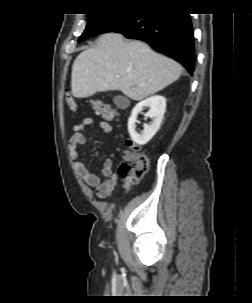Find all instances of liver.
Masks as SVG:
<instances>
[{
    "label": "liver",
    "instance_id": "liver-1",
    "mask_svg": "<svg viewBox=\"0 0 252 303\" xmlns=\"http://www.w3.org/2000/svg\"><path fill=\"white\" fill-rule=\"evenodd\" d=\"M182 66L157 54L140 41H125L118 33H106L97 46L80 53L72 66L71 89L76 98L118 90L139 101L176 81Z\"/></svg>",
    "mask_w": 252,
    "mask_h": 303
}]
</instances>
